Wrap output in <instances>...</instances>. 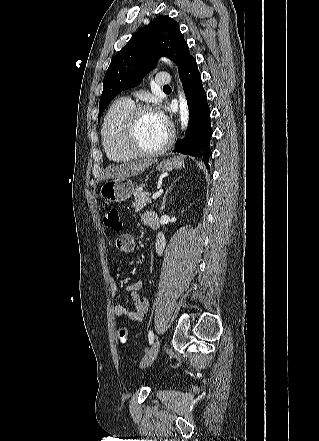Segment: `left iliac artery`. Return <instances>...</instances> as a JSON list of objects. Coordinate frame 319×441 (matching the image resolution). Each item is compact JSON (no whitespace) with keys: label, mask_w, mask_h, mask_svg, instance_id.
<instances>
[{"label":"left iliac artery","mask_w":319,"mask_h":441,"mask_svg":"<svg viewBox=\"0 0 319 441\" xmlns=\"http://www.w3.org/2000/svg\"><path fill=\"white\" fill-rule=\"evenodd\" d=\"M148 338H149V343L152 344L154 341V333L152 330L148 331Z\"/></svg>","instance_id":"obj_1"}]
</instances>
